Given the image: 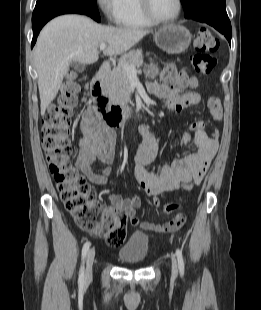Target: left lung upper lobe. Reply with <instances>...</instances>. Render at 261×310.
Here are the masks:
<instances>
[{
    "label": "left lung upper lobe",
    "mask_w": 261,
    "mask_h": 310,
    "mask_svg": "<svg viewBox=\"0 0 261 310\" xmlns=\"http://www.w3.org/2000/svg\"><path fill=\"white\" fill-rule=\"evenodd\" d=\"M187 19L227 18L226 0H181Z\"/></svg>",
    "instance_id": "5c2ea615"
}]
</instances>
